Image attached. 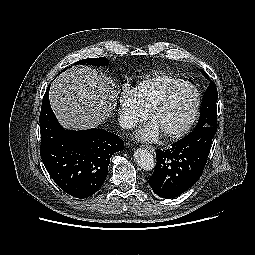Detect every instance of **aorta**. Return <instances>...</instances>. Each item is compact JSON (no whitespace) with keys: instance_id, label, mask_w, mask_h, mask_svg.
Returning <instances> with one entry per match:
<instances>
[{"instance_id":"1","label":"aorta","mask_w":255,"mask_h":255,"mask_svg":"<svg viewBox=\"0 0 255 255\" xmlns=\"http://www.w3.org/2000/svg\"><path fill=\"white\" fill-rule=\"evenodd\" d=\"M134 160L140 168L146 171L154 169L156 164L153 154L146 149L135 150Z\"/></svg>"}]
</instances>
